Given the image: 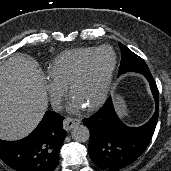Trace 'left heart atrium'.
<instances>
[{
	"instance_id": "39dd6f15",
	"label": "left heart atrium",
	"mask_w": 171,
	"mask_h": 171,
	"mask_svg": "<svg viewBox=\"0 0 171 171\" xmlns=\"http://www.w3.org/2000/svg\"><path fill=\"white\" fill-rule=\"evenodd\" d=\"M85 108L84 104L79 101L75 96L71 95L70 100L67 105L68 111L72 113H78Z\"/></svg>"
}]
</instances>
